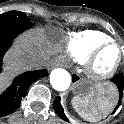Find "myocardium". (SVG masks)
I'll return each mask as SVG.
<instances>
[{
  "label": "myocardium",
  "instance_id": "f54148a6",
  "mask_svg": "<svg viewBox=\"0 0 124 124\" xmlns=\"http://www.w3.org/2000/svg\"><path fill=\"white\" fill-rule=\"evenodd\" d=\"M109 47H115L118 50L119 57L116 64L107 72L100 73L96 70L95 65L99 56ZM124 62V50L114 41H108L98 45L89 55L85 62V72L89 79L94 82H104L113 78L119 71Z\"/></svg>",
  "mask_w": 124,
  "mask_h": 124
}]
</instances>
